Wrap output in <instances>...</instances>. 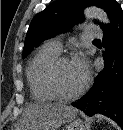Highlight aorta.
Masks as SVG:
<instances>
[{
  "instance_id": "1",
  "label": "aorta",
  "mask_w": 123,
  "mask_h": 130,
  "mask_svg": "<svg viewBox=\"0 0 123 130\" xmlns=\"http://www.w3.org/2000/svg\"><path fill=\"white\" fill-rule=\"evenodd\" d=\"M84 14L87 18H96L104 24H109L110 20L106 12L97 7H88L84 10Z\"/></svg>"
}]
</instances>
